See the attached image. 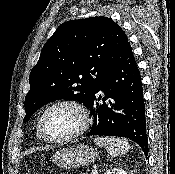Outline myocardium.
Instances as JSON below:
<instances>
[{"label": "myocardium", "instance_id": "1", "mask_svg": "<svg viewBox=\"0 0 175 174\" xmlns=\"http://www.w3.org/2000/svg\"><path fill=\"white\" fill-rule=\"evenodd\" d=\"M59 106H67L75 110L80 117V125L76 131H74L72 134L66 137L53 138L50 137L44 129V119L52 109ZM89 125H90V116L87 108L81 102L73 99H63L52 103L43 111L38 121V129L43 139L51 143H59V144L70 142L76 139L77 137L81 136L88 129Z\"/></svg>", "mask_w": 175, "mask_h": 174}]
</instances>
